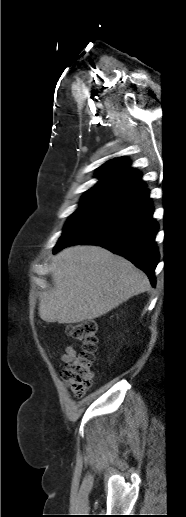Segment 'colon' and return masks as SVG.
I'll return each mask as SVG.
<instances>
[{
    "instance_id": "obj_1",
    "label": "colon",
    "mask_w": 186,
    "mask_h": 517,
    "mask_svg": "<svg viewBox=\"0 0 186 517\" xmlns=\"http://www.w3.org/2000/svg\"><path fill=\"white\" fill-rule=\"evenodd\" d=\"M67 334L78 340L81 351L61 370V379L76 397H82L91 388L93 382V355L97 343V324L94 321L70 323L66 326Z\"/></svg>"
}]
</instances>
